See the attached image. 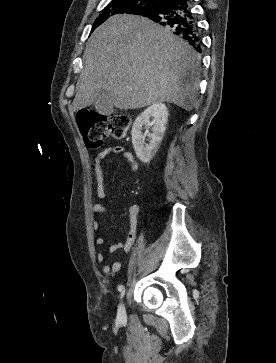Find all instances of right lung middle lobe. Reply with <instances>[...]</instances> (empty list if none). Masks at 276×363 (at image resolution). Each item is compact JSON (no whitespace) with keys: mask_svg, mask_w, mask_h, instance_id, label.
<instances>
[{"mask_svg":"<svg viewBox=\"0 0 276 363\" xmlns=\"http://www.w3.org/2000/svg\"><path fill=\"white\" fill-rule=\"evenodd\" d=\"M156 3L155 0H112L96 18L92 31L112 16L137 14Z\"/></svg>","mask_w":276,"mask_h":363,"instance_id":"dd1d6c3e","label":"right lung middle lobe"}]
</instances>
